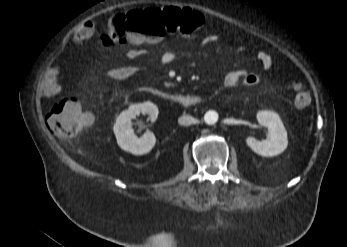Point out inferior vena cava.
I'll return each mask as SVG.
<instances>
[{
	"label": "inferior vena cava",
	"instance_id": "inferior-vena-cava-1",
	"mask_svg": "<svg viewBox=\"0 0 347 247\" xmlns=\"http://www.w3.org/2000/svg\"><path fill=\"white\" fill-rule=\"evenodd\" d=\"M178 122L180 125L189 126L191 124L197 123V119L189 115H183L179 118Z\"/></svg>",
	"mask_w": 347,
	"mask_h": 247
}]
</instances>
